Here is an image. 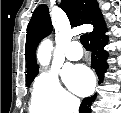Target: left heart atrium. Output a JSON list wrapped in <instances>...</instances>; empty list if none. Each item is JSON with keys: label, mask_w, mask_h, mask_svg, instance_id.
I'll return each mask as SVG.
<instances>
[{"label": "left heart atrium", "mask_w": 121, "mask_h": 113, "mask_svg": "<svg viewBox=\"0 0 121 113\" xmlns=\"http://www.w3.org/2000/svg\"><path fill=\"white\" fill-rule=\"evenodd\" d=\"M63 77L67 86L78 95H86L93 88V76L84 66L66 68Z\"/></svg>", "instance_id": "39dd6f15"}]
</instances>
